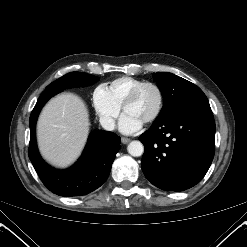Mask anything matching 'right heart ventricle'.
Listing matches in <instances>:
<instances>
[{
  "mask_svg": "<svg viewBox=\"0 0 247 247\" xmlns=\"http://www.w3.org/2000/svg\"><path fill=\"white\" fill-rule=\"evenodd\" d=\"M144 80L132 76H122L111 81L106 87L117 105L122 106L130 92Z\"/></svg>",
  "mask_w": 247,
  "mask_h": 247,
  "instance_id": "1",
  "label": "right heart ventricle"
}]
</instances>
